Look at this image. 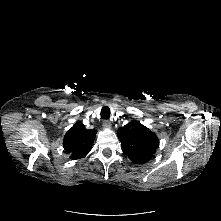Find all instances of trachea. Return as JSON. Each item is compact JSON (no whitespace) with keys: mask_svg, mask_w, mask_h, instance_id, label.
I'll list each match as a JSON object with an SVG mask.
<instances>
[{"mask_svg":"<svg viewBox=\"0 0 221 221\" xmlns=\"http://www.w3.org/2000/svg\"><path fill=\"white\" fill-rule=\"evenodd\" d=\"M110 117V108L108 106H104L101 110V118L109 119Z\"/></svg>","mask_w":221,"mask_h":221,"instance_id":"obj_1","label":"trachea"}]
</instances>
